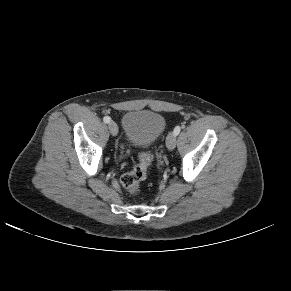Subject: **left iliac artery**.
<instances>
[{"instance_id":"obj_1","label":"left iliac artery","mask_w":291,"mask_h":291,"mask_svg":"<svg viewBox=\"0 0 291 291\" xmlns=\"http://www.w3.org/2000/svg\"><path fill=\"white\" fill-rule=\"evenodd\" d=\"M180 131H181V127L180 126H176L174 131H173V133H174V135L177 136L180 133Z\"/></svg>"}]
</instances>
